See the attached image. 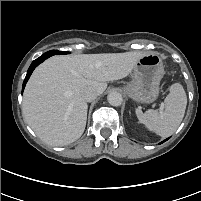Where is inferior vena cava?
<instances>
[{
  "label": "inferior vena cava",
  "mask_w": 201,
  "mask_h": 201,
  "mask_svg": "<svg viewBox=\"0 0 201 201\" xmlns=\"http://www.w3.org/2000/svg\"><path fill=\"white\" fill-rule=\"evenodd\" d=\"M81 96L86 102H91L94 99H96L97 93L95 92L94 89L87 88V89L82 91Z\"/></svg>",
  "instance_id": "602c4592"
}]
</instances>
